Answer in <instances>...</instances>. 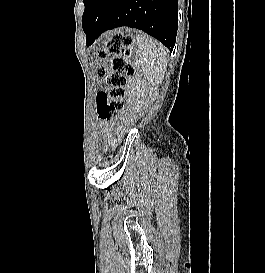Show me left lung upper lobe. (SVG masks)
Wrapping results in <instances>:
<instances>
[{"instance_id": "left-lung-upper-lobe-1", "label": "left lung upper lobe", "mask_w": 265, "mask_h": 273, "mask_svg": "<svg viewBox=\"0 0 265 273\" xmlns=\"http://www.w3.org/2000/svg\"><path fill=\"white\" fill-rule=\"evenodd\" d=\"M84 5H85V11L83 13V17L86 15L87 9H88V0H83Z\"/></svg>"}]
</instances>
